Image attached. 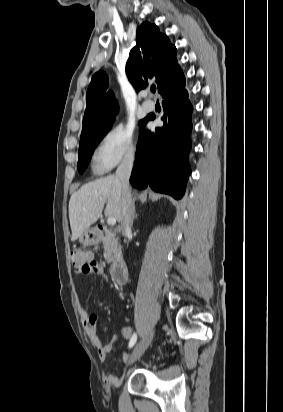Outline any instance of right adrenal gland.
I'll list each match as a JSON object with an SVG mask.
<instances>
[{
  "label": "right adrenal gland",
  "mask_w": 283,
  "mask_h": 412,
  "mask_svg": "<svg viewBox=\"0 0 283 412\" xmlns=\"http://www.w3.org/2000/svg\"><path fill=\"white\" fill-rule=\"evenodd\" d=\"M138 218V215L135 213V219H137Z\"/></svg>",
  "instance_id": "2a0ac1e0"
}]
</instances>
